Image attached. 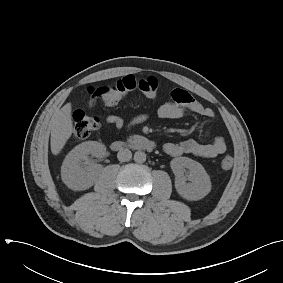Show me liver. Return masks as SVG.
<instances>
[{"mask_svg":"<svg viewBox=\"0 0 283 283\" xmlns=\"http://www.w3.org/2000/svg\"><path fill=\"white\" fill-rule=\"evenodd\" d=\"M71 111V103H67L52 117L50 145L54 155L61 152L73 133Z\"/></svg>","mask_w":283,"mask_h":283,"instance_id":"obj_1","label":"liver"}]
</instances>
